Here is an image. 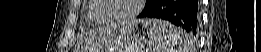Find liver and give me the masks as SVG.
Listing matches in <instances>:
<instances>
[{
  "instance_id": "1",
  "label": "liver",
  "mask_w": 261,
  "mask_h": 52,
  "mask_svg": "<svg viewBox=\"0 0 261 52\" xmlns=\"http://www.w3.org/2000/svg\"><path fill=\"white\" fill-rule=\"evenodd\" d=\"M131 30H132V27L126 29L124 33H129ZM105 32H106V29L105 30L104 29L101 30V33H105Z\"/></svg>"
}]
</instances>
